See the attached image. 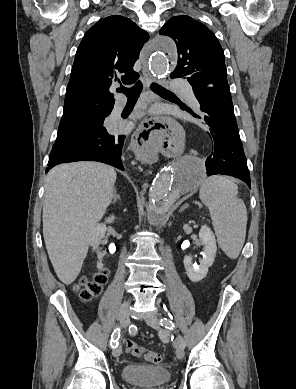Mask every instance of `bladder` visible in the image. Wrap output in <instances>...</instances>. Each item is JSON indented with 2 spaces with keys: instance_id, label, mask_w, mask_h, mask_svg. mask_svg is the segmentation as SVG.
I'll use <instances>...</instances> for the list:
<instances>
[{
  "instance_id": "1",
  "label": "bladder",
  "mask_w": 296,
  "mask_h": 389,
  "mask_svg": "<svg viewBox=\"0 0 296 389\" xmlns=\"http://www.w3.org/2000/svg\"><path fill=\"white\" fill-rule=\"evenodd\" d=\"M121 377L131 385L152 388L168 383L171 374L162 366L129 363L123 367Z\"/></svg>"
}]
</instances>
